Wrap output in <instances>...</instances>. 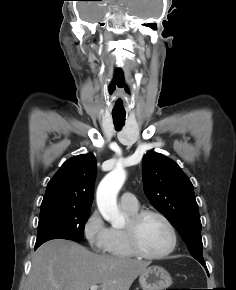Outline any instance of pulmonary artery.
Listing matches in <instances>:
<instances>
[{"label": "pulmonary artery", "mask_w": 236, "mask_h": 290, "mask_svg": "<svg viewBox=\"0 0 236 290\" xmlns=\"http://www.w3.org/2000/svg\"><path fill=\"white\" fill-rule=\"evenodd\" d=\"M120 204L122 207L128 208V209L138 208V200L132 192L123 193L120 198Z\"/></svg>", "instance_id": "1"}]
</instances>
